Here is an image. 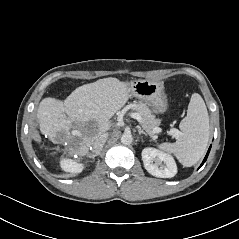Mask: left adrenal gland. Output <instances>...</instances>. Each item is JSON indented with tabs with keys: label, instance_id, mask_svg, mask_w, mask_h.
I'll return each instance as SVG.
<instances>
[{
	"label": "left adrenal gland",
	"instance_id": "obj_1",
	"mask_svg": "<svg viewBox=\"0 0 239 239\" xmlns=\"http://www.w3.org/2000/svg\"><path fill=\"white\" fill-rule=\"evenodd\" d=\"M138 133L144 134L145 136H147V133L144 130H142L140 127H138Z\"/></svg>",
	"mask_w": 239,
	"mask_h": 239
}]
</instances>
